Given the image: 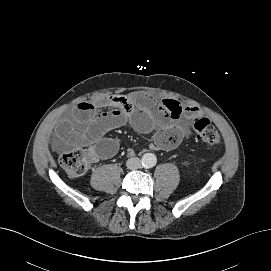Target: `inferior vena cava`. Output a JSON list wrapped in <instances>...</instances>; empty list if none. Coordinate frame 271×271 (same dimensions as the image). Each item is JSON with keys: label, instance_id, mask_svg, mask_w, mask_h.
<instances>
[{"label": "inferior vena cava", "instance_id": "602c4592", "mask_svg": "<svg viewBox=\"0 0 271 271\" xmlns=\"http://www.w3.org/2000/svg\"><path fill=\"white\" fill-rule=\"evenodd\" d=\"M126 166L130 170H136L141 167V160L138 157H132L127 160Z\"/></svg>", "mask_w": 271, "mask_h": 271}]
</instances>
